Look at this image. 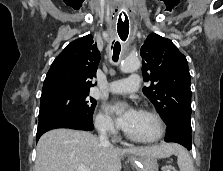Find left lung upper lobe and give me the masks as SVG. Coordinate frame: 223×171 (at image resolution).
<instances>
[{
	"instance_id": "5c2ea615",
	"label": "left lung upper lobe",
	"mask_w": 223,
	"mask_h": 171,
	"mask_svg": "<svg viewBox=\"0 0 223 171\" xmlns=\"http://www.w3.org/2000/svg\"><path fill=\"white\" fill-rule=\"evenodd\" d=\"M142 73L149 87L143 93L168 125L181 121L191 125L190 73L186 57L173 42L155 33L141 47Z\"/></svg>"
}]
</instances>
